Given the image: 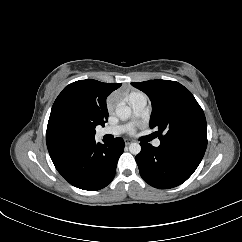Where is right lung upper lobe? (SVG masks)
Masks as SVG:
<instances>
[{"label":"right lung upper lobe","mask_w":242,"mask_h":242,"mask_svg":"<svg viewBox=\"0 0 242 242\" xmlns=\"http://www.w3.org/2000/svg\"><path fill=\"white\" fill-rule=\"evenodd\" d=\"M121 83L79 80L66 86L55 100L49 117L46 143L51 159L95 140V128L108 121L107 96Z\"/></svg>","instance_id":"1"}]
</instances>
